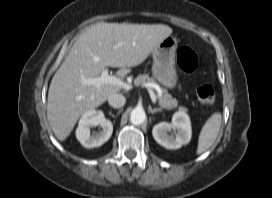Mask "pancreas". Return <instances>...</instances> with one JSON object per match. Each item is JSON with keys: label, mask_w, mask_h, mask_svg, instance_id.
I'll return each mask as SVG.
<instances>
[{"label": "pancreas", "mask_w": 272, "mask_h": 198, "mask_svg": "<svg viewBox=\"0 0 272 198\" xmlns=\"http://www.w3.org/2000/svg\"><path fill=\"white\" fill-rule=\"evenodd\" d=\"M136 86L144 84H155V80L149 77L148 74L139 75L134 81ZM158 103L162 109L171 110L178 107V101L173 98L166 89H162L161 95H157ZM179 111H186L185 107H178Z\"/></svg>", "instance_id": "cf45deb5"}]
</instances>
